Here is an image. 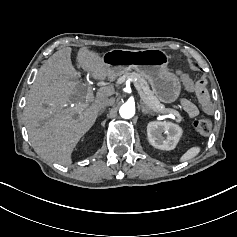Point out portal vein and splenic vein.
Wrapping results in <instances>:
<instances>
[{
	"mask_svg": "<svg viewBox=\"0 0 237 237\" xmlns=\"http://www.w3.org/2000/svg\"><path fill=\"white\" fill-rule=\"evenodd\" d=\"M133 87H135V89H138V93L140 94V96L142 97V99H143V101L144 102H146V104H148V106L150 107V108H152V107H154L152 104H150V103H148L147 102V99H146V97H145V95H144V93L141 91V88H140V86H138V84L137 83H134L133 84ZM152 107H151V106ZM152 109H155L156 111H170L179 121H182V116H181V114H179V113H177L176 111H174L173 109L172 110H158L157 108H152ZM180 115V116H179Z\"/></svg>",
	"mask_w": 237,
	"mask_h": 237,
	"instance_id": "portal-vein-and-splenic-vein-1",
	"label": "portal vein and splenic vein"
}]
</instances>
